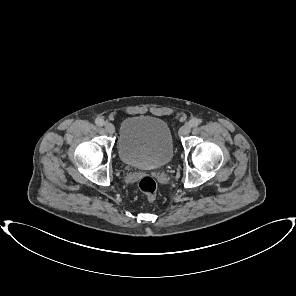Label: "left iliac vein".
<instances>
[{
	"mask_svg": "<svg viewBox=\"0 0 296 296\" xmlns=\"http://www.w3.org/2000/svg\"><path fill=\"white\" fill-rule=\"evenodd\" d=\"M191 126L189 124L183 125L179 130V136H186L190 133Z\"/></svg>",
	"mask_w": 296,
	"mask_h": 296,
	"instance_id": "4c4485c4",
	"label": "left iliac vein"
}]
</instances>
